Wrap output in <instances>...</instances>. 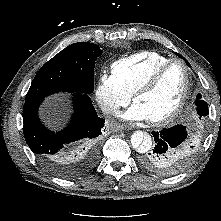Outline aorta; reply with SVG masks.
<instances>
[{
	"label": "aorta",
	"instance_id": "obj_1",
	"mask_svg": "<svg viewBox=\"0 0 221 221\" xmlns=\"http://www.w3.org/2000/svg\"><path fill=\"white\" fill-rule=\"evenodd\" d=\"M131 144L139 153H145L152 147V137L148 133L135 131L131 135Z\"/></svg>",
	"mask_w": 221,
	"mask_h": 221
}]
</instances>
